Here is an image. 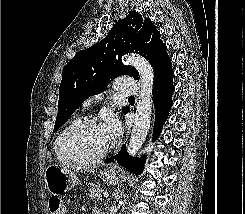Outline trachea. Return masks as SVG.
I'll use <instances>...</instances> for the list:
<instances>
[{
    "instance_id": "trachea-1",
    "label": "trachea",
    "mask_w": 245,
    "mask_h": 214,
    "mask_svg": "<svg viewBox=\"0 0 245 214\" xmlns=\"http://www.w3.org/2000/svg\"><path fill=\"white\" fill-rule=\"evenodd\" d=\"M128 99H135L134 97H129Z\"/></svg>"
}]
</instances>
